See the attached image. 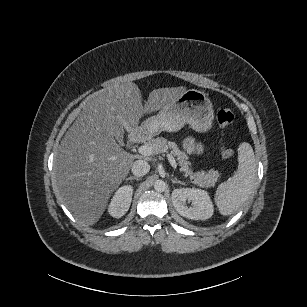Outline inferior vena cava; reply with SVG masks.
I'll list each match as a JSON object with an SVG mask.
<instances>
[{
	"label": "inferior vena cava",
	"instance_id": "1",
	"mask_svg": "<svg viewBox=\"0 0 307 307\" xmlns=\"http://www.w3.org/2000/svg\"><path fill=\"white\" fill-rule=\"evenodd\" d=\"M150 170V165L145 160H137L132 164V172L136 176L145 175Z\"/></svg>",
	"mask_w": 307,
	"mask_h": 307
}]
</instances>
